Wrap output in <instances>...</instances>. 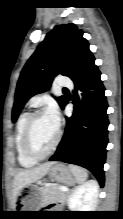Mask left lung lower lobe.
Wrapping results in <instances>:
<instances>
[{
    "instance_id": "left-lung-lower-lobe-1",
    "label": "left lung lower lobe",
    "mask_w": 123,
    "mask_h": 219,
    "mask_svg": "<svg viewBox=\"0 0 123 219\" xmlns=\"http://www.w3.org/2000/svg\"><path fill=\"white\" fill-rule=\"evenodd\" d=\"M88 59L72 78L75 91L73 115L67 119L64 136L50 161H62L87 168L104 184L103 165L108 144V104L100 71ZM66 99L62 108L68 103Z\"/></svg>"
}]
</instances>
